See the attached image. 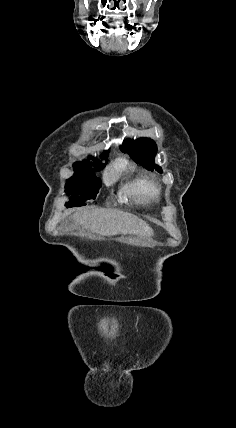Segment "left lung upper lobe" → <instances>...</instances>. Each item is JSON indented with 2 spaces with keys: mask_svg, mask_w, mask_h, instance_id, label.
I'll return each instance as SVG.
<instances>
[{
  "mask_svg": "<svg viewBox=\"0 0 236 428\" xmlns=\"http://www.w3.org/2000/svg\"><path fill=\"white\" fill-rule=\"evenodd\" d=\"M125 148L126 151L124 150ZM120 149L123 152L129 153L134 160L147 169L153 170L155 168L158 172H162V169L154 164L157 146L153 140L149 138H139L135 141L127 139L123 142Z\"/></svg>",
  "mask_w": 236,
  "mask_h": 428,
  "instance_id": "1",
  "label": "left lung upper lobe"
}]
</instances>
